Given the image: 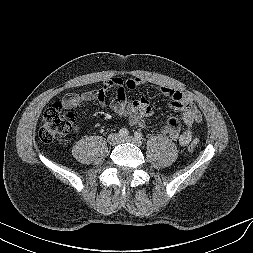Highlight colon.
I'll list each match as a JSON object with an SVG mask.
<instances>
[{
    "mask_svg": "<svg viewBox=\"0 0 253 253\" xmlns=\"http://www.w3.org/2000/svg\"><path fill=\"white\" fill-rule=\"evenodd\" d=\"M75 113L67 110L57 102L49 107L43 114L39 137L43 142L49 143L62 136L67 135L75 122ZM198 141L193 140L189 144V150L195 151Z\"/></svg>",
    "mask_w": 253,
    "mask_h": 253,
    "instance_id": "1",
    "label": "colon"
}]
</instances>
